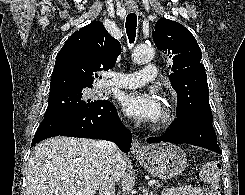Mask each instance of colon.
Instances as JSON below:
<instances>
[{"label":"colon","mask_w":245,"mask_h":195,"mask_svg":"<svg viewBox=\"0 0 245 195\" xmlns=\"http://www.w3.org/2000/svg\"><path fill=\"white\" fill-rule=\"evenodd\" d=\"M218 171L219 168L217 166H211L203 173V180L207 184L206 195H220Z\"/></svg>","instance_id":"1"}]
</instances>
